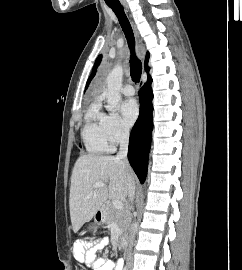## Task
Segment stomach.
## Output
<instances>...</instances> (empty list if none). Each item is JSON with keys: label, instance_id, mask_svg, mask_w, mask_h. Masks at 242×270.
I'll return each mask as SVG.
<instances>
[{"label": "stomach", "instance_id": "obj_1", "mask_svg": "<svg viewBox=\"0 0 242 270\" xmlns=\"http://www.w3.org/2000/svg\"><path fill=\"white\" fill-rule=\"evenodd\" d=\"M100 216H101V219L103 220L104 219V217H105V211L104 210H101L100 211Z\"/></svg>", "mask_w": 242, "mask_h": 270}]
</instances>
